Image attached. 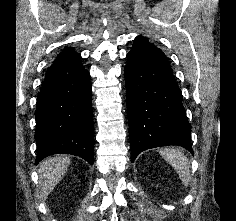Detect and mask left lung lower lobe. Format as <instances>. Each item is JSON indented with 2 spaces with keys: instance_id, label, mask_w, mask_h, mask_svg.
Here are the masks:
<instances>
[{
  "instance_id": "obj_1",
  "label": "left lung lower lobe",
  "mask_w": 236,
  "mask_h": 221,
  "mask_svg": "<svg viewBox=\"0 0 236 221\" xmlns=\"http://www.w3.org/2000/svg\"><path fill=\"white\" fill-rule=\"evenodd\" d=\"M126 80L132 162L142 151L167 145L193 154L191 125L165 54L142 36L127 54Z\"/></svg>"
}]
</instances>
